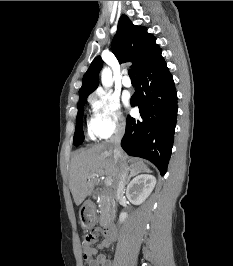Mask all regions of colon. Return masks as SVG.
Instances as JSON below:
<instances>
[{"label": "colon", "mask_w": 233, "mask_h": 266, "mask_svg": "<svg viewBox=\"0 0 233 266\" xmlns=\"http://www.w3.org/2000/svg\"><path fill=\"white\" fill-rule=\"evenodd\" d=\"M100 236V232L98 230H93L89 234L86 235L85 241L88 243H95Z\"/></svg>", "instance_id": "5ec220e1"}]
</instances>
